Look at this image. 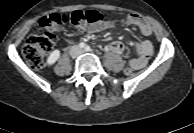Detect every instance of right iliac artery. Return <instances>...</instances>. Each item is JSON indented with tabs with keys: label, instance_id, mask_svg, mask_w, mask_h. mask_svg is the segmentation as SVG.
<instances>
[{
	"label": "right iliac artery",
	"instance_id": "right-iliac-artery-1",
	"mask_svg": "<svg viewBox=\"0 0 194 133\" xmlns=\"http://www.w3.org/2000/svg\"><path fill=\"white\" fill-rule=\"evenodd\" d=\"M79 47H80V48H86V44H85L84 42H80V43H79Z\"/></svg>",
	"mask_w": 194,
	"mask_h": 133
}]
</instances>
